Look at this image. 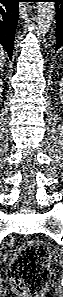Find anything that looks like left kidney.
Segmentation results:
<instances>
[{"instance_id":"left-kidney-1","label":"left kidney","mask_w":63,"mask_h":297,"mask_svg":"<svg viewBox=\"0 0 63 297\" xmlns=\"http://www.w3.org/2000/svg\"><path fill=\"white\" fill-rule=\"evenodd\" d=\"M59 86H60V89H59V92H60V99L62 100L63 99V80H61L59 82Z\"/></svg>"}]
</instances>
